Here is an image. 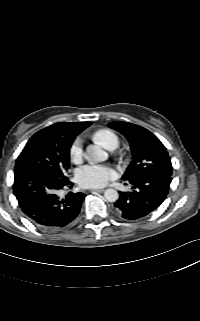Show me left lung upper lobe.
Here are the masks:
<instances>
[{"label":"left lung upper lobe","mask_w":200,"mask_h":321,"mask_svg":"<svg viewBox=\"0 0 200 321\" xmlns=\"http://www.w3.org/2000/svg\"><path fill=\"white\" fill-rule=\"evenodd\" d=\"M108 126L122 133L131 146L133 160L122 179L148 174L172 175V164L166 148L154 134L128 122L114 121Z\"/></svg>","instance_id":"5c2ea615"}]
</instances>
